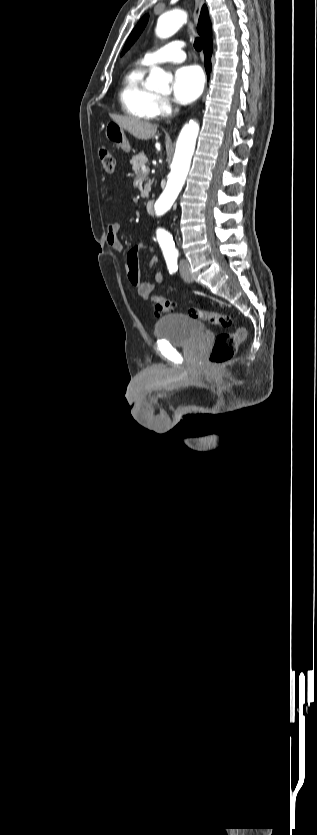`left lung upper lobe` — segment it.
<instances>
[{
  "instance_id": "1",
  "label": "left lung upper lobe",
  "mask_w": 317,
  "mask_h": 835,
  "mask_svg": "<svg viewBox=\"0 0 317 835\" xmlns=\"http://www.w3.org/2000/svg\"><path fill=\"white\" fill-rule=\"evenodd\" d=\"M147 22H148V15H145L141 18V20L138 22V24L136 25V27L134 28V30L130 34L129 38L127 39V41L125 43V46H124V49H123L121 55H123L132 46V44L137 40V38L139 37V35L143 31L144 27L146 26Z\"/></svg>"
}]
</instances>
